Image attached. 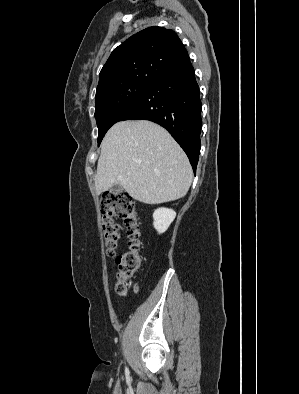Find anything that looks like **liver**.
Returning a JSON list of instances; mask_svg holds the SVG:
<instances>
[{
    "instance_id": "obj_1",
    "label": "liver",
    "mask_w": 299,
    "mask_h": 394,
    "mask_svg": "<svg viewBox=\"0 0 299 394\" xmlns=\"http://www.w3.org/2000/svg\"><path fill=\"white\" fill-rule=\"evenodd\" d=\"M189 160L172 136L147 121H121L106 133L94 178L98 194L120 184L134 199L159 204L186 195Z\"/></svg>"
}]
</instances>
